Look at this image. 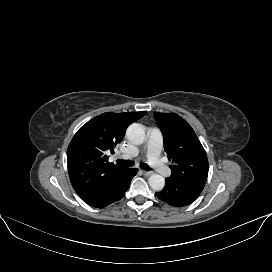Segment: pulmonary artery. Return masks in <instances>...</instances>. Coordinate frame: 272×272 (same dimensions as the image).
<instances>
[{
	"label": "pulmonary artery",
	"mask_w": 272,
	"mask_h": 272,
	"mask_svg": "<svg viewBox=\"0 0 272 272\" xmlns=\"http://www.w3.org/2000/svg\"><path fill=\"white\" fill-rule=\"evenodd\" d=\"M163 148V136L156 128H150L147 135L146 154L148 163L161 175L170 176V168L161 160L160 154Z\"/></svg>",
	"instance_id": "1"
}]
</instances>
